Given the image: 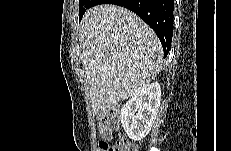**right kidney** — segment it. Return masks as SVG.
I'll list each match as a JSON object with an SVG mask.
<instances>
[{"label": "right kidney", "mask_w": 231, "mask_h": 151, "mask_svg": "<svg viewBox=\"0 0 231 151\" xmlns=\"http://www.w3.org/2000/svg\"><path fill=\"white\" fill-rule=\"evenodd\" d=\"M161 102L158 82L148 84L130 98L121 109V123L127 136L139 141L150 132Z\"/></svg>", "instance_id": "right-kidney-1"}]
</instances>
